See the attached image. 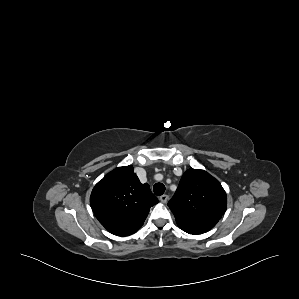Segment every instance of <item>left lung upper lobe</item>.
<instances>
[{"label":"left lung upper lobe","mask_w":299,"mask_h":299,"mask_svg":"<svg viewBox=\"0 0 299 299\" xmlns=\"http://www.w3.org/2000/svg\"><path fill=\"white\" fill-rule=\"evenodd\" d=\"M227 197L219 181L204 170L189 169L168 202L178 226L193 235L212 229L226 211Z\"/></svg>","instance_id":"1"}]
</instances>
